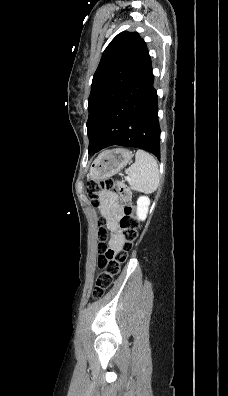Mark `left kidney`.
<instances>
[{"instance_id": "5707ae66", "label": "left kidney", "mask_w": 228, "mask_h": 396, "mask_svg": "<svg viewBox=\"0 0 228 396\" xmlns=\"http://www.w3.org/2000/svg\"><path fill=\"white\" fill-rule=\"evenodd\" d=\"M150 199L147 196H140L137 200L136 214L138 220H145L148 214Z\"/></svg>"}]
</instances>
